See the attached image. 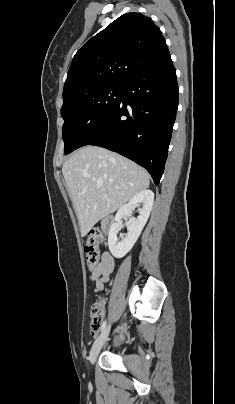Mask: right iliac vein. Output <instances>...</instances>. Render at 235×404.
<instances>
[{"label": "right iliac vein", "instance_id": "1", "mask_svg": "<svg viewBox=\"0 0 235 404\" xmlns=\"http://www.w3.org/2000/svg\"><path fill=\"white\" fill-rule=\"evenodd\" d=\"M110 325L102 332V334L99 336V338L94 342L91 350H90V355H89V360L91 364H94L96 361V358L103 346V344L106 342L109 332H110Z\"/></svg>", "mask_w": 235, "mask_h": 404}]
</instances>
